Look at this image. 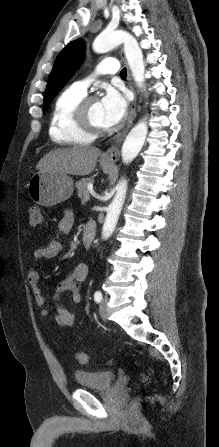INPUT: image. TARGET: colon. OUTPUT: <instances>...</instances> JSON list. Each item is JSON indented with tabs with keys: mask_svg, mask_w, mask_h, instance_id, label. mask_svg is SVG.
<instances>
[{
	"mask_svg": "<svg viewBox=\"0 0 219 447\" xmlns=\"http://www.w3.org/2000/svg\"><path fill=\"white\" fill-rule=\"evenodd\" d=\"M42 222V214L38 206H30L29 208V225L33 228L38 227ZM75 359L79 364L85 365L89 362V356L84 351L75 353ZM145 381H149L148 377H144Z\"/></svg>",
	"mask_w": 219,
	"mask_h": 447,
	"instance_id": "colon-1",
	"label": "colon"
}]
</instances>
